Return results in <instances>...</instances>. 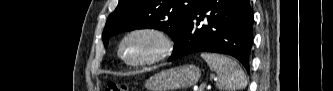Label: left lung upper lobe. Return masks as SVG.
Masks as SVG:
<instances>
[{
	"label": "left lung upper lobe",
	"mask_w": 333,
	"mask_h": 91,
	"mask_svg": "<svg viewBox=\"0 0 333 91\" xmlns=\"http://www.w3.org/2000/svg\"><path fill=\"white\" fill-rule=\"evenodd\" d=\"M200 0H119L108 17L102 38L105 47L110 37L129 30L155 28L174 40Z\"/></svg>",
	"instance_id": "5c2ea615"
}]
</instances>
